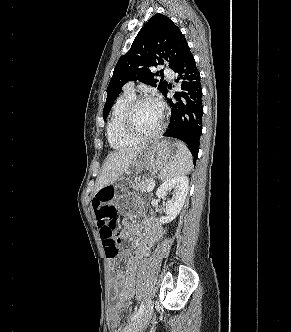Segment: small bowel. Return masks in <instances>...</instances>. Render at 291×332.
<instances>
[{"label":"small bowel","mask_w":291,"mask_h":332,"mask_svg":"<svg viewBox=\"0 0 291 332\" xmlns=\"http://www.w3.org/2000/svg\"><path fill=\"white\" fill-rule=\"evenodd\" d=\"M103 190L113 192V188L109 185L102 187L98 192ZM93 207L95 212L94 200ZM161 235V228L154 220L146 221L141 228L124 223V228L119 236V243L122 245L119 256L123 259H128V263L124 271L117 273L112 285L111 298L117 308H125L133 297L137 267L141 259L154 247ZM135 236H138L139 240H136ZM129 245L136 246V251L132 256L127 247Z\"/></svg>","instance_id":"obj_1"}]
</instances>
